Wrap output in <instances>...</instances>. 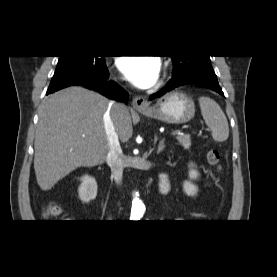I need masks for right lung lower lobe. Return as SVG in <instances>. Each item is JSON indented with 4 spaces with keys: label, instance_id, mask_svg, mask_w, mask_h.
Returning <instances> with one entry per match:
<instances>
[{
    "label": "right lung lower lobe",
    "instance_id": "98d812e1",
    "mask_svg": "<svg viewBox=\"0 0 277 277\" xmlns=\"http://www.w3.org/2000/svg\"><path fill=\"white\" fill-rule=\"evenodd\" d=\"M108 76H109V73H108ZM107 78L100 82H94V81L87 80V81H80V82L74 83L72 85L85 86L89 89H93V90L99 92L100 94L106 95L115 100L127 102L128 93L123 88H121L118 84H116L115 82L108 81ZM72 85H69V86H72ZM58 90H60V89L48 90L46 94L48 95V94L53 93Z\"/></svg>",
    "mask_w": 277,
    "mask_h": 277
}]
</instances>
